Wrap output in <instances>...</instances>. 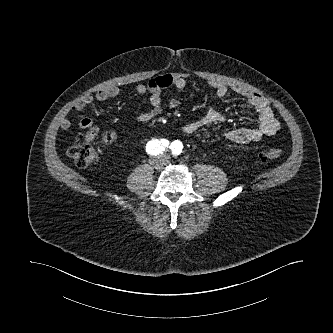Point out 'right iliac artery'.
Instances as JSON below:
<instances>
[{
	"mask_svg": "<svg viewBox=\"0 0 333 333\" xmlns=\"http://www.w3.org/2000/svg\"><path fill=\"white\" fill-rule=\"evenodd\" d=\"M169 146V141L166 139H152L146 145V152L150 155H159L164 152L165 147Z\"/></svg>",
	"mask_w": 333,
	"mask_h": 333,
	"instance_id": "1",
	"label": "right iliac artery"
}]
</instances>
